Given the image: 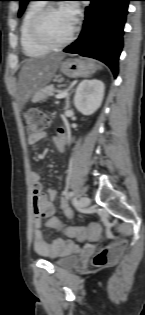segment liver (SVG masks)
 Returning a JSON list of instances; mask_svg holds the SVG:
<instances>
[{
  "instance_id": "1",
  "label": "liver",
  "mask_w": 145,
  "mask_h": 315,
  "mask_svg": "<svg viewBox=\"0 0 145 315\" xmlns=\"http://www.w3.org/2000/svg\"><path fill=\"white\" fill-rule=\"evenodd\" d=\"M64 57V54L57 53L24 61L19 74L16 96L19 107H22L30 97L51 81Z\"/></svg>"
}]
</instances>
